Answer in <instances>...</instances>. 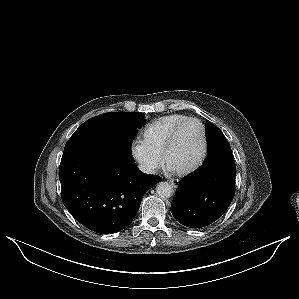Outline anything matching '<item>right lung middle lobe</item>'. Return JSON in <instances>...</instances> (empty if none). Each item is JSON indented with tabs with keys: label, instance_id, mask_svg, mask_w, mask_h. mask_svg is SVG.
<instances>
[{
	"label": "right lung middle lobe",
	"instance_id": "obj_1",
	"mask_svg": "<svg viewBox=\"0 0 299 299\" xmlns=\"http://www.w3.org/2000/svg\"><path fill=\"white\" fill-rule=\"evenodd\" d=\"M142 112H110L84 122L68 142L89 141L116 146L130 153L137 127L144 125Z\"/></svg>",
	"mask_w": 299,
	"mask_h": 299
}]
</instances>
